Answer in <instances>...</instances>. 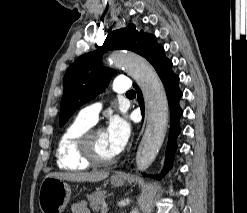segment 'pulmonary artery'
Wrapping results in <instances>:
<instances>
[{
    "label": "pulmonary artery",
    "instance_id": "pulmonary-artery-1",
    "mask_svg": "<svg viewBox=\"0 0 247 213\" xmlns=\"http://www.w3.org/2000/svg\"><path fill=\"white\" fill-rule=\"evenodd\" d=\"M131 89V83L127 77H116L113 85V91L121 94L128 92ZM102 105L96 103L81 109L78 113V117L91 124H95L98 119L99 112L101 111Z\"/></svg>",
    "mask_w": 247,
    "mask_h": 213
}]
</instances>
